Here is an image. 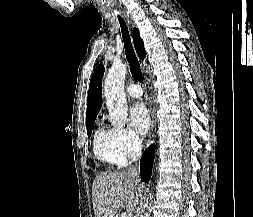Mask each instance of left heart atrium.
<instances>
[{"mask_svg": "<svg viewBox=\"0 0 253 217\" xmlns=\"http://www.w3.org/2000/svg\"><path fill=\"white\" fill-rule=\"evenodd\" d=\"M129 123L135 133L140 136L145 135L150 128V116L141 102L136 103L129 114Z\"/></svg>", "mask_w": 253, "mask_h": 217, "instance_id": "obj_1", "label": "left heart atrium"}]
</instances>
